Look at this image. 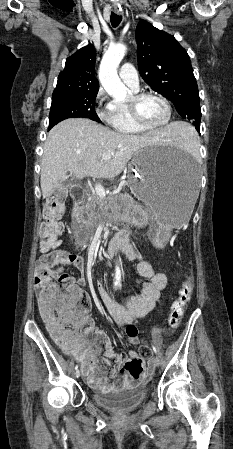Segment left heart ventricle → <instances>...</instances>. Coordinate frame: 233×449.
<instances>
[{
    "instance_id": "1",
    "label": "left heart ventricle",
    "mask_w": 233,
    "mask_h": 449,
    "mask_svg": "<svg viewBox=\"0 0 233 449\" xmlns=\"http://www.w3.org/2000/svg\"><path fill=\"white\" fill-rule=\"evenodd\" d=\"M139 111L143 120L151 125L162 123L167 116L165 104L154 96H147L140 101Z\"/></svg>"
}]
</instances>
